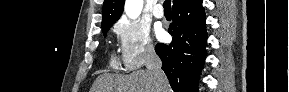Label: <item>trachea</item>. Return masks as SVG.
<instances>
[{"label": "trachea", "instance_id": "3493384b", "mask_svg": "<svg viewBox=\"0 0 289 92\" xmlns=\"http://www.w3.org/2000/svg\"><path fill=\"white\" fill-rule=\"evenodd\" d=\"M163 8H164V12H171V1L170 0H166L163 3Z\"/></svg>", "mask_w": 289, "mask_h": 92}]
</instances>
